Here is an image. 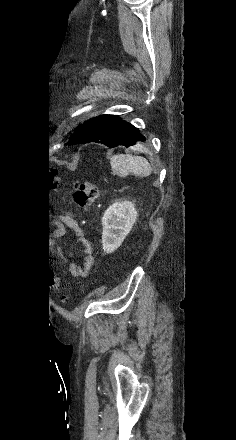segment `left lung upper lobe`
Here are the masks:
<instances>
[{"label":"left lung upper lobe","instance_id":"5c2ea615","mask_svg":"<svg viewBox=\"0 0 236 440\" xmlns=\"http://www.w3.org/2000/svg\"><path fill=\"white\" fill-rule=\"evenodd\" d=\"M80 127H81V125H79V127L74 130V133L70 136V138H72L77 133V131L80 129Z\"/></svg>","mask_w":236,"mask_h":440}]
</instances>
